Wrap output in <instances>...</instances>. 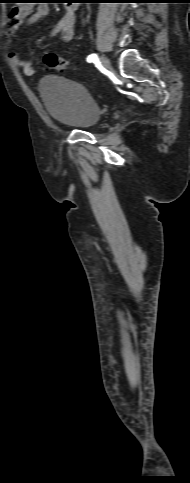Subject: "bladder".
I'll return each instance as SVG.
<instances>
[{
	"label": "bladder",
	"instance_id": "1",
	"mask_svg": "<svg viewBox=\"0 0 190 483\" xmlns=\"http://www.w3.org/2000/svg\"><path fill=\"white\" fill-rule=\"evenodd\" d=\"M38 91L48 114L55 122L77 130H89L98 124L100 108L81 84L49 75L41 80Z\"/></svg>",
	"mask_w": 190,
	"mask_h": 483
}]
</instances>
